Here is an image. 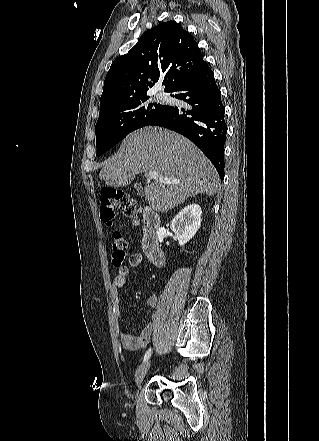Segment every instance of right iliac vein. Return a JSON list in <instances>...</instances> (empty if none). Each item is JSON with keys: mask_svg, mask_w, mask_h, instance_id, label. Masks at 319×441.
<instances>
[{"mask_svg": "<svg viewBox=\"0 0 319 441\" xmlns=\"http://www.w3.org/2000/svg\"><path fill=\"white\" fill-rule=\"evenodd\" d=\"M149 367H150V362L146 361L140 367H138V369L136 370L135 382L138 386L142 383L145 375L147 374Z\"/></svg>", "mask_w": 319, "mask_h": 441, "instance_id": "right-iliac-vein-1", "label": "right iliac vein"}]
</instances>
